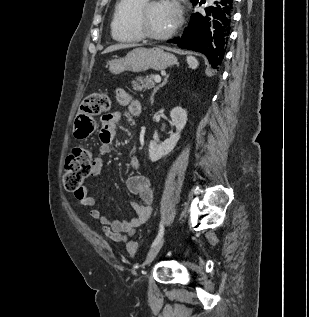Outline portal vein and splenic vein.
Masks as SVG:
<instances>
[{"label": "portal vein and splenic vein", "mask_w": 309, "mask_h": 317, "mask_svg": "<svg viewBox=\"0 0 309 317\" xmlns=\"http://www.w3.org/2000/svg\"><path fill=\"white\" fill-rule=\"evenodd\" d=\"M154 81H155L156 83L161 82V77H160L159 75H156L155 78H154Z\"/></svg>", "instance_id": "1"}]
</instances>
